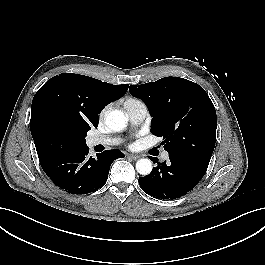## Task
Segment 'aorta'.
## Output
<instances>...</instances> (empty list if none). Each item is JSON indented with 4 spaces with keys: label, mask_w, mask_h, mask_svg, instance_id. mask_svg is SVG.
Returning a JSON list of instances; mask_svg holds the SVG:
<instances>
[{
    "label": "aorta",
    "mask_w": 265,
    "mask_h": 265,
    "mask_svg": "<svg viewBox=\"0 0 265 265\" xmlns=\"http://www.w3.org/2000/svg\"><path fill=\"white\" fill-rule=\"evenodd\" d=\"M127 116L120 110H112L105 117V124L115 132L122 131L127 126ZM136 170L141 175H148L152 171V162L147 158L137 161Z\"/></svg>",
    "instance_id": "obj_1"
}]
</instances>
